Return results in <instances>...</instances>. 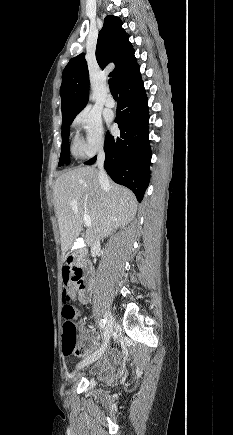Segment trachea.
Masks as SVG:
<instances>
[{
	"label": "trachea",
	"mask_w": 233,
	"mask_h": 435,
	"mask_svg": "<svg viewBox=\"0 0 233 435\" xmlns=\"http://www.w3.org/2000/svg\"><path fill=\"white\" fill-rule=\"evenodd\" d=\"M108 83H109L111 94L118 95L116 81L114 79H109Z\"/></svg>",
	"instance_id": "3493384b"
}]
</instances>
